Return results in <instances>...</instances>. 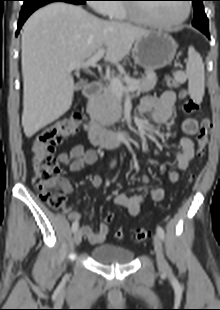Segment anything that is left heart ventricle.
I'll use <instances>...</instances> for the list:
<instances>
[{
	"instance_id": "b2bd125f",
	"label": "left heart ventricle",
	"mask_w": 220,
	"mask_h": 310,
	"mask_svg": "<svg viewBox=\"0 0 220 310\" xmlns=\"http://www.w3.org/2000/svg\"><path fill=\"white\" fill-rule=\"evenodd\" d=\"M141 13L145 16L152 17L161 22H173L179 19L184 14V3H160L148 5L139 8Z\"/></svg>"
}]
</instances>
